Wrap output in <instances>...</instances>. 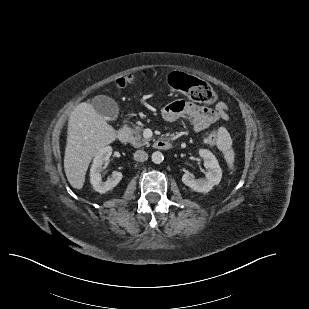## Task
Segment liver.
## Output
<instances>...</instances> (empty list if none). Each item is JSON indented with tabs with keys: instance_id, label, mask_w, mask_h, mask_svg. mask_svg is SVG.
Instances as JSON below:
<instances>
[{
	"instance_id": "obj_1",
	"label": "liver",
	"mask_w": 309,
	"mask_h": 309,
	"mask_svg": "<svg viewBox=\"0 0 309 309\" xmlns=\"http://www.w3.org/2000/svg\"><path fill=\"white\" fill-rule=\"evenodd\" d=\"M116 131L90 104H78L70 114L64 170L73 188L82 189L92 158L116 140Z\"/></svg>"
}]
</instances>
